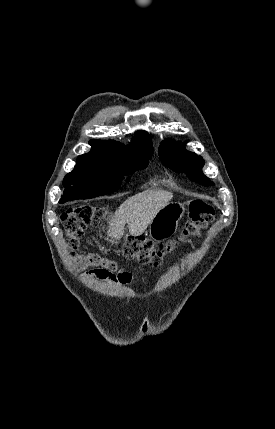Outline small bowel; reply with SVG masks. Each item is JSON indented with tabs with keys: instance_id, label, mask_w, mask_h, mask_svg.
<instances>
[{
	"instance_id": "1",
	"label": "small bowel",
	"mask_w": 275,
	"mask_h": 429,
	"mask_svg": "<svg viewBox=\"0 0 275 429\" xmlns=\"http://www.w3.org/2000/svg\"><path fill=\"white\" fill-rule=\"evenodd\" d=\"M122 273H123V277H118L113 272L98 268V269L90 270L89 272H87V275L96 277L103 281H110V282L121 283V284L130 283L132 280L131 274L126 272H122Z\"/></svg>"
}]
</instances>
